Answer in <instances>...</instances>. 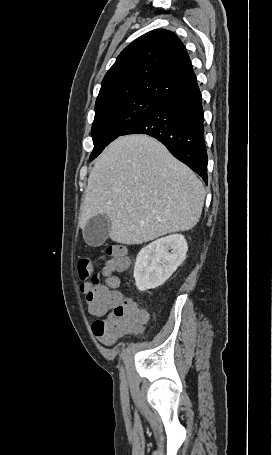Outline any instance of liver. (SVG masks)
<instances>
[{"label":"liver","instance_id":"1","mask_svg":"<svg viewBox=\"0 0 272 455\" xmlns=\"http://www.w3.org/2000/svg\"><path fill=\"white\" fill-rule=\"evenodd\" d=\"M204 200L202 182L163 144L143 134L121 136L89 174L79 223L84 228L93 216L105 214L111 240L142 244L192 229Z\"/></svg>","mask_w":272,"mask_h":455}]
</instances>
